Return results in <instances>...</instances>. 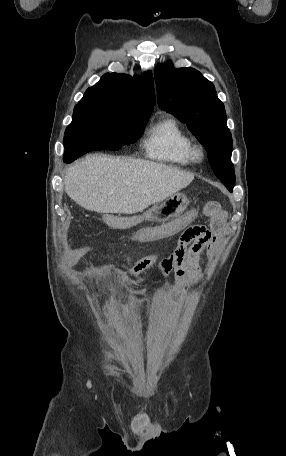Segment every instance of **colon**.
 I'll return each mask as SVG.
<instances>
[{"mask_svg":"<svg viewBox=\"0 0 286 456\" xmlns=\"http://www.w3.org/2000/svg\"><path fill=\"white\" fill-rule=\"evenodd\" d=\"M205 208L207 211H215L219 209V203L215 201H210L206 203Z\"/></svg>","mask_w":286,"mask_h":456,"instance_id":"obj_1","label":"colon"}]
</instances>
